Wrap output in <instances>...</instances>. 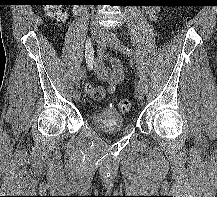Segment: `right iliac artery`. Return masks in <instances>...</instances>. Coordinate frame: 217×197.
<instances>
[{"instance_id":"obj_1","label":"right iliac artery","mask_w":217,"mask_h":197,"mask_svg":"<svg viewBox=\"0 0 217 197\" xmlns=\"http://www.w3.org/2000/svg\"><path fill=\"white\" fill-rule=\"evenodd\" d=\"M97 46H98V51H99L100 48L104 46L103 41L98 40V45ZM84 73H85L84 69H80L78 71V73L76 75V87H80V82H81V80H82V78L84 76Z\"/></svg>"}]
</instances>
